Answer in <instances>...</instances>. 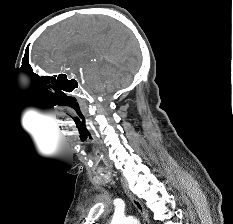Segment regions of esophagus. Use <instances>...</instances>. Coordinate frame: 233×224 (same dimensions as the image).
Segmentation results:
<instances>
[{
  "label": "esophagus",
  "mask_w": 233,
  "mask_h": 224,
  "mask_svg": "<svg viewBox=\"0 0 233 224\" xmlns=\"http://www.w3.org/2000/svg\"><path fill=\"white\" fill-rule=\"evenodd\" d=\"M123 188L126 192V194L128 195V197L131 199L132 203L134 204V206L136 207V209L139 211V213L142 216L143 219V224H150L149 221V216H148V212L146 211V209L144 208L143 204L140 202V200H138L129 190L127 184L125 182H122Z\"/></svg>",
  "instance_id": "obj_1"
}]
</instances>
